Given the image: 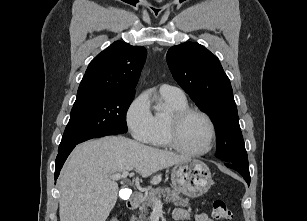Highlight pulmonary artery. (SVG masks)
Returning <instances> with one entry per match:
<instances>
[{
    "instance_id": "1",
    "label": "pulmonary artery",
    "mask_w": 307,
    "mask_h": 221,
    "mask_svg": "<svg viewBox=\"0 0 307 221\" xmlns=\"http://www.w3.org/2000/svg\"><path fill=\"white\" fill-rule=\"evenodd\" d=\"M160 93L176 97H185L184 92L180 88L168 84H162L160 86Z\"/></svg>"
}]
</instances>
